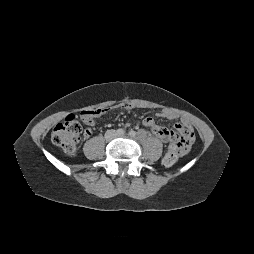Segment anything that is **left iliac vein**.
I'll list each match as a JSON object with an SVG mask.
<instances>
[{"label":"left iliac vein","instance_id":"obj_1","mask_svg":"<svg viewBox=\"0 0 254 254\" xmlns=\"http://www.w3.org/2000/svg\"><path fill=\"white\" fill-rule=\"evenodd\" d=\"M124 136H126L125 134H123V135H117V137H124Z\"/></svg>","mask_w":254,"mask_h":254}]
</instances>
